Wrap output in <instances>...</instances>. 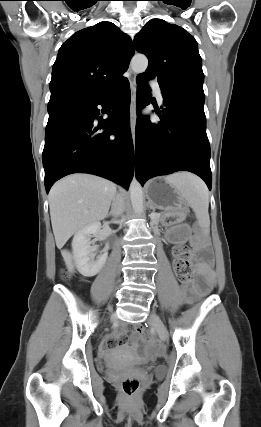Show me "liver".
I'll use <instances>...</instances> for the list:
<instances>
[{"mask_svg": "<svg viewBox=\"0 0 261 427\" xmlns=\"http://www.w3.org/2000/svg\"><path fill=\"white\" fill-rule=\"evenodd\" d=\"M116 184L89 174H72L58 181L49 193V208L56 246L87 225L107 215Z\"/></svg>", "mask_w": 261, "mask_h": 427, "instance_id": "liver-1", "label": "liver"}]
</instances>
